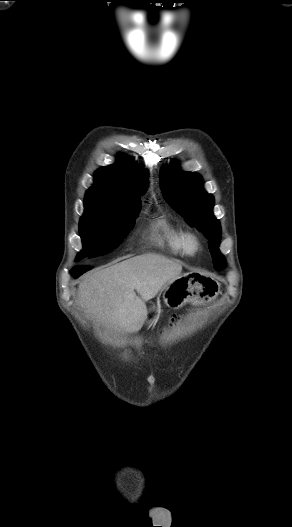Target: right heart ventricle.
I'll return each mask as SVG.
<instances>
[{"label":"right heart ventricle","instance_id":"e07e8e85","mask_svg":"<svg viewBox=\"0 0 292 527\" xmlns=\"http://www.w3.org/2000/svg\"><path fill=\"white\" fill-rule=\"evenodd\" d=\"M185 231L166 215L154 216L148 226L146 239L157 249L174 256L186 255L183 248Z\"/></svg>","mask_w":292,"mask_h":527}]
</instances>
